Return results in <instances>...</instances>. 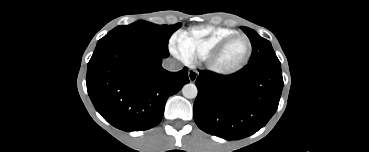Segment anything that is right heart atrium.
<instances>
[{
    "label": "right heart atrium",
    "mask_w": 369,
    "mask_h": 152,
    "mask_svg": "<svg viewBox=\"0 0 369 152\" xmlns=\"http://www.w3.org/2000/svg\"><path fill=\"white\" fill-rule=\"evenodd\" d=\"M170 48L171 50L175 53L178 54L180 57H182L185 61H188V58L186 57L185 53H183L179 47L178 41L177 39H174L171 44H170Z\"/></svg>",
    "instance_id": "d8ad5b80"
}]
</instances>
